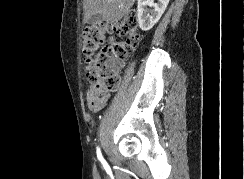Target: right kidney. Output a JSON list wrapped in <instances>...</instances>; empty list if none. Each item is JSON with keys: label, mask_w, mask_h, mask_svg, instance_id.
I'll return each instance as SVG.
<instances>
[{"label": "right kidney", "mask_w": 244, "mask_h": 179, "mask_svg": "<svg viewBox=\"0 0 244 179\" xmlns=\"http://www.w3.org/2000/svg\"><path fill=\"white\" fill-rule=\"evenodd\" d=\"M168 4L169 0H158L157 4H154V0H138L137 20L143 32H148L157 24ZM147 6L154 10H148Z\"/></svg>", "instance_id": "right-kidney-1"}]
</instances>
